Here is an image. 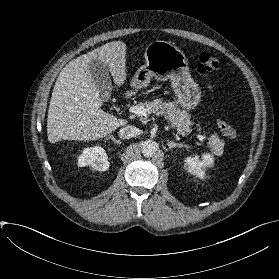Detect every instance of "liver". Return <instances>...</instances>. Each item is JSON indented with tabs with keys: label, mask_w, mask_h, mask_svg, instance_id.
Wrapping results in <instances>:
<instances>
[{
	"label": "liver",
	"mask_w": 279,
	"mask_h": 279,
	"mask_svg": "<svg viewBox=\"0 0 279 279\" xmlns=\"http://www.w3.org/2000/svg\"><path fill=\"white\" fill-rule=\"evenodd\" d=\"M126 44L109 42L70 61L60 72L50 100L47 135L61 140L91 141L105 137L128 123L101 109L103 102L90 72L93 59L108 66L115 84L126 80Z\"/></svg>",
	"instance_id": "obj_1"
}]
</instances>
